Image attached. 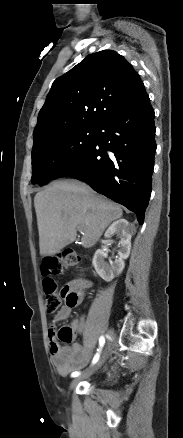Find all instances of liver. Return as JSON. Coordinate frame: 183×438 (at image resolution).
Here are the masks:
<instances>
[{"label": "liver", "instance_id": "1", "mask_svg": "<svg viewBox=\"0 0 183 438\" xmlns=\"http://www.w3.org/2000/svg\"><path fill=\"white\" fill-rule=\"evenodd\" d=\"M41 256H52L83 233L82 246L92 247L109 224L122 217V209L96 194L87 184L58 180L34 197Z\"/></svg>", "mask_w": 183, "mask_h": 438}]
</instances>
